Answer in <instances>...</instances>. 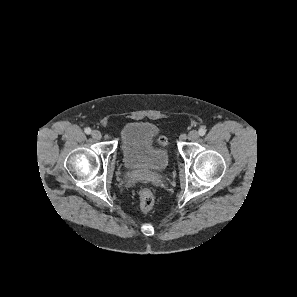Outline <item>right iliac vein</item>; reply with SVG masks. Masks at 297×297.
Segmentation results:
<instances>
[{
    "label": "right iliac vein",
    "mask_w": 297,
    "mask_h": 297,
    "mask_svg": "<svg viewBox=\"0 0 297 297\" xmlns=\"http://www.w3.org/2000/svg\"><path fill=\"white\" fill-rule=\"evenodd\" d=\"M91 135L95 140H100L102 138V134L98 130L92 131Z\"/></svg>",
    "instance_id": "1"
}]
</instances>
